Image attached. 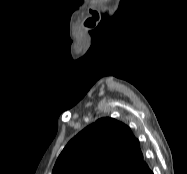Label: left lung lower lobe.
<instances>
[{"mask_svg":"<svg viewBox=\"0 0 187 174\" xmlns=\"http://www.w3.org/2000/svg\"><path fill=\"white\" fill-rule=\"evenodd\" d=\"M134 174H153V172L149 169V167H146L144 169H137Z\"/></svg>","mask_w":187,"mask_h":174,"instance_id":"obj_1","label":"left lung lower lobe"}]
</instances>
